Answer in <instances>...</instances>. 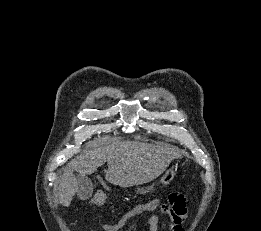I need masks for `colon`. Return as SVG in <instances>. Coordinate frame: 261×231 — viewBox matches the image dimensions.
Returning <instances> with one entry per match:
<instances>
[{
    "instance_id": "colon-1",
    "label": "colon",
    "mask_w": 261,
    "mask_h": 231,
    "mask_svg": "<svg viewBox=\"0 0 261 231\" xmlns=\"http://www.w3.org/2000/svg\"><path fill=\"white\" fill-rule=\"evenodd\" d=\"M105 198H107V194H105ZM168 209L174 213L175 215L185 218L187 215V205L185 198L180 193H172L169 195V203L166 205ZM157 206L154 204H147L146 212H150L154 210Z\"/></svg>"
}]
</instances>
